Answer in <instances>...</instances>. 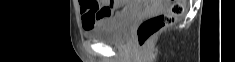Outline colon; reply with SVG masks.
I'll use <instances>...</instances> for the list:
<instances>
[{
  "instance_id": "obj_1",
  "label": "colon",
  "mask_w": 235,
  "mask_h": 62,
  "mask_svg": "<svg viewBox=\"0 0 235 62\" xmlns=\"http://www.w3.org/2000/svg\"><path fill=\"white\" fill-rule=\"evenodd\" d=\"M170 6L164 12L144 19L137 27L136 38L143 47L161 29L169 26L181 16L185 9L184 0H169Z\"/></svg>"
}]
</instances>
